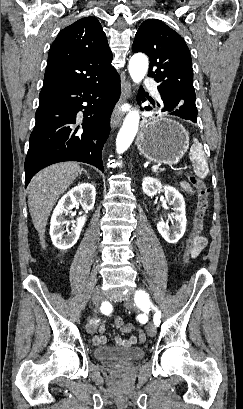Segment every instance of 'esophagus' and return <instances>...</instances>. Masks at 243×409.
Returning <instances> with one entry per match:
<instances>
[{
  "instance_id": "obj_1",
  "label": "esophagus",
  "mask_w": 243,
  "mask_h": 409,
  "mask_svg": "<svg viewBox=\"0 0 243 409\" xmlns=\"http://www.w3.org/2000/svg\"><path fill=\"white\" fill-rule=\"evenodd\" d=\"M131 97V83L129 80H126L121 87L120 98L113 110L111 116V127L112 129L117 128L123 119L124 112L122 110V105L125 104Z\"/></svg>"
}]
</instances>
